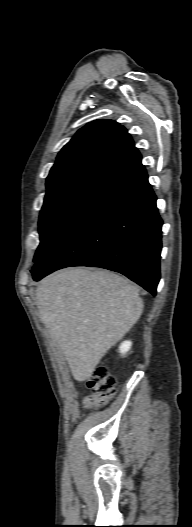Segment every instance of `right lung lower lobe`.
Wrapping results in <instances>:
<instances>
[{
  "mask_svg": "<svg viewBox=\"0 0 192 527\" xmlns=\"http://www.w3.org/2000/svg\"><path fill=\"white\" fill-rule=\"evenodd\" d=\"M162 220L141 156L107 181L31 270L39 281L69 266L124 274L156 294Z\"/></svg>",
  "mask_w": 192,
  "mask_h": 527,
  "instance_id": "1",
  "label": "right lung lower lobe"
}]
</instances>
